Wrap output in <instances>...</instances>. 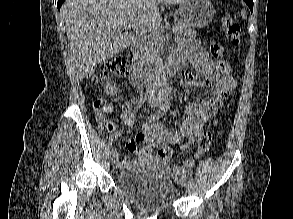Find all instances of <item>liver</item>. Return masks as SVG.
Returning <instances> with one entry per match:
<instances>
[{
	"mask_svg": "<svg viewBox=\"0 0 293 219\" xmlns=\"http://www.w3.org/2000/svg\"><path fill=\"white\" fill-rule=\"evenodd\" d=\"M183 0H66L61 11L78 77L126 49L131 29L151 31L160 24L158 5Z\"/></svg>",
	"mask_w": 293,
	"mask_h": 219,
	"instance_id": "obj_1",
	"label": "liver"
}]
</instances>
